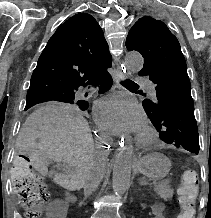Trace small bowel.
Returning a JSON list of instances; mask_svg holds the SVG:
<instances>
[{
	"instance_id": "1",
	"label": "small bowel",
	"mask_w": 211,
	"mask_h": 218,
	"mask_svg": "<svg viewBox=\"0 0 211 218\" xmlns=\"http://www.w3.org/2000/svg\"><path fill=\"white\" fill-rule=\"evenodd\" d=\"M59 212L51 206L48 210V217H56ZM152 216L153 218H164V206L162 204H156L152 207Z\"/></svg>"
}]
</instances>
